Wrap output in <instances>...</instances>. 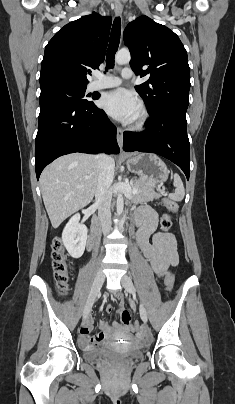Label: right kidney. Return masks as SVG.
<instances>
[{"label": "right kidney", "mask_w": 235, "mask_h": 404, "mask_svg": "<svg viewBox=\"0 0 235 404\" xmlns=\"http://www.w3.org/2000/svg\"><path fill=\"white\" fill-rule=\"evenodd\" d=\"M80 215L75 214L66 224L62 241L70 256L80 258L85 250L87 240V228L79 223Z\"/></svg>", "instance_id": "right-kidney-1"}]
</instances>
